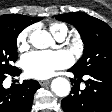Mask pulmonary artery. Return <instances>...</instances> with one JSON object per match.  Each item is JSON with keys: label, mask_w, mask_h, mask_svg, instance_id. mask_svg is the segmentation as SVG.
I'll return each instance as SVG.
<instances>
[{"label": "pulmonary artery", "mask_w": 112, "mask_h": 112, "mask_svg": "<svg viewBox=\"0 0 112 112\" xmlns=\"http://www.w3.org/2000/svg\"><path fill=\"white\" fill-rule=\"evenodd\" d=\"M64 38H65V36H60V37H58L57 39H58L59 41H62V40H64Z\"/></svg>", "instance_id": "obj_1"}]
</instances>
